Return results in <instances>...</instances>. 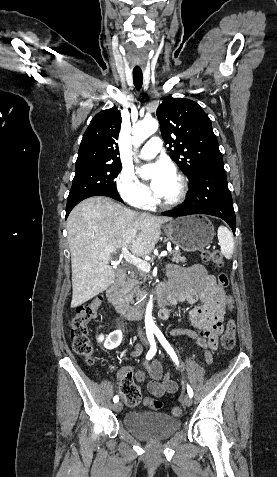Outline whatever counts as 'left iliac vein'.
<instances>
[{"mask_svg": "<svg viewBox=\"0 0 277 477\" xmlns=\"http://www.w3.org/2000/svg\"><path fill=\"white\" fill-rule=\"evenodd\" d=\"M182 403L185 406L190 407L192 405V398L189 395L186 394L182 397Z\"/></svg>", "mask_w": 277, "mask_h": 477, "instance_id": "1", "label": "left iliac vein"}]
</instances>
